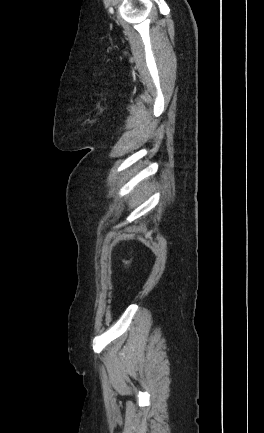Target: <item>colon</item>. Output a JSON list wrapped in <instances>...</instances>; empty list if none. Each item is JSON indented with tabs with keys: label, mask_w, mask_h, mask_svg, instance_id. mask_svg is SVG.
<instances>
[{
	"label": "colon",
	"mask_w": 264,
	"mask_h": 433,
	"mask_svg": "<svg viewBox=\"0 0 264 433\" xmlns=\"http://www.w3.org/2000/svg\"><path fill=\"white\" fill-rule=\"evenodd\" d=\"M134 262H135V257L124 258V259L122 260V266H123V269H124L125 271H128V270L130 269V267L134 264Z\"/></svg>",
	"instance_id": "1"
}]
</instances>
